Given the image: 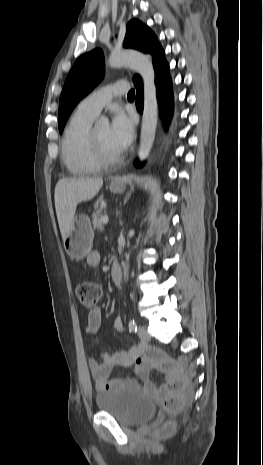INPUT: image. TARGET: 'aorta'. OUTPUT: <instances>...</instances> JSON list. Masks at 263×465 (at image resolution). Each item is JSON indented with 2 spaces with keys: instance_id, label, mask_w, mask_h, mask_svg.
<instances>
[{
  "instance_id": "1",
  "label": "aorta",
  "mask_w": 263,
  "mask_h": 465,
  "mask_svg": "<svg viewBox=\"0 0 263 465\" xmlns=\"http://www.w3.org/2000/svg\"><path fill=\"white\" fill-rule=\"evenodd\" d=\"M108 65L110 67L128 66L137 71L142 79L144 86V110L142 115L140 146L138 156L144 161L150 154L154 143L157 121H158V102L156 97L155 71L149 56L137 51L124 50L112 52ZM102 123L107 119L102 118ZM129 264L124 267V279H128Z\"/></svg>"
}]
</instances>
